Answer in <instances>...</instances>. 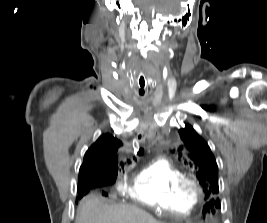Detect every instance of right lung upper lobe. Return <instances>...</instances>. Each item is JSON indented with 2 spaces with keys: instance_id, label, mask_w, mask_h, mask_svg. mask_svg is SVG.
Returning a JSON list of instances; mask_svg holds the SVG:
<instances>
[{
  "instance_id": "1",
  "label": "right lung upper lobe",
  "mask_w": 267,
  "mask_h": 223,
  "mask_svg": "<svg viewBox=\"0 0 267 223\" xmlns=\"http://www.w3.org/2000/svg\"><path fill=\"white\" fill-rule=\"evenodd\" d=\"M121 142L109 134L102 135L87 150L80 168L79 179L102 177L109 169L118 168L116 151Z\"/></svg>"
}]
</instances>
